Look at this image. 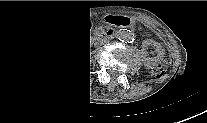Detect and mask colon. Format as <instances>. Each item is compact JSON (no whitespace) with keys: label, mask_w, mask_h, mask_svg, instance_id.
I'll return each mask as SVG.
<instances>
[{"label":"colon","mask_w":207,"mask_h":123,"mask_svg":"<svg viewBox=\"0 0 207 123\" xmlns=\"http://www.w3.org/2000/svg\"><path fill=\"white\" fill-rule=\"evenodd\" d=\"M57 43L59 44V41ZM169 65H170L169 60L164 59L163 61L160 62V64L156 68L152 70L151 72L152 75L160 76L164 74V72L168 69Z\"/></svg>","instance_id":"5ec220e1"}]
</instances>
